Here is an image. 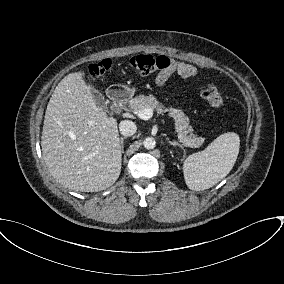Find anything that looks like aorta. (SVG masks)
<instances>
[{"label": "aorta", "instance_id": "1", "mask_svg": "<svg viewBox=\"0 0 284 284\" xmlns=\"http://www.w3.org/2000/svg\"><path fill=\"white\" fill-rule=\"evenodd\" d=\"M143 145H144V148L148 149V150H151V149H154L155 146H156V141L154 138L152 137H147L145 138V140L143 141Z\"/></svg>", "mask_w": 284, "mask_h": 284}]
</instances>
